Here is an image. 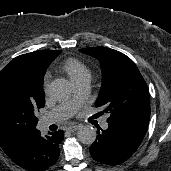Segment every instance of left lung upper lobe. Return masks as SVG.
Instances as JSON below:
<instances>
[{
	"label": "left lung upper lobe",
	"mask_w": 171,
	"mask_h": 171,
	"mask_svg": "<svg viewBox=\"0 0 171 171\" xmlns=\"http://www.w3.org/2000/svg\"><path fill=\"white\" fill-rule=\"evenodd\" d=\"M80 51L101 63L103 81L96 107H103L109 114L107 122L145 135L150 119L149 91L134 62L110 48L90 47Z\"/></svg>",
	"instance_id": "obj_1"
}]
</instances>
